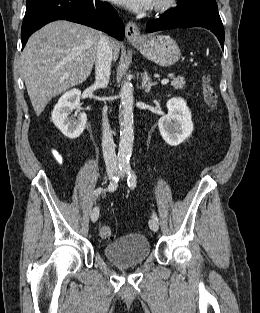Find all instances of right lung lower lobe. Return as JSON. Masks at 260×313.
Listing matches in <instances>:
<instances>
[{"label": "right lung lower lobe", "mask_w": 260, "mask_h": 313, "mask_svg": "<svg viewBox=\"0 0 260 313\" xmlns=\"http://www.w3.org/2000/svg\"><path fill=\"white\" fill-rule=\"evenodd\" d=\"M64 19L104 31L122 40L125 35L123 23L116 10L107 2L99 0H27L21 40L22 47L36 30L47 23Z\"/></svg>", "instance_id": "1"}]
</instances>
